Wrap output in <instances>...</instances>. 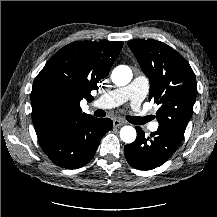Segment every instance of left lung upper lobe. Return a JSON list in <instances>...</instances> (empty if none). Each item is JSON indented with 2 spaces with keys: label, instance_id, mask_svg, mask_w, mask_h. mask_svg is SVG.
Masks as SVG:
<instances>
[{
  "label": "left lung upper lobe",
  "instance_id": "left-lung-upper-lobe-1",
  "mask_svg": "<svg viewBox=\"0 0 217 217\" xmlns=\"http://www.w3.org/2000/svg\"><path fill=\"white\" fill-rule=\"evenodd\" d=\"M128 46L150 80L149 100L160 105L156 118L165 127L184 136L197 95L195 74L173 48L156 40L136 39Z\"/></svg>",
  "mask_w": 217,
  "mask_h": 217
}]
</instances>
